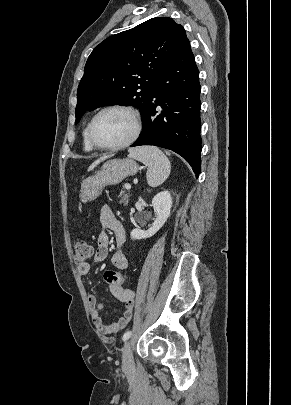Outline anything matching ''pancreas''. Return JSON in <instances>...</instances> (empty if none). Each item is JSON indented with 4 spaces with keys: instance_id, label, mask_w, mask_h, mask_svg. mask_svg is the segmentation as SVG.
Segmentation results:
<instances>
[{
    "instance_id": "cf45deb5",
    "label": "pancreas",
    "mask_w": 291,
    "mask_h": 405,
    "mask_svg": "<svg viewBox=\"0 0 291 405\" xmlns=\"http://www.w3.org/2000/svg\"><path fill=\"white\" fill-rule=\"evenodd\" d=\"M121 198L120 203L123 205H128L130 194L125 193V190L122 189L119 196Z\"/></svg>"
}]
</instances>
